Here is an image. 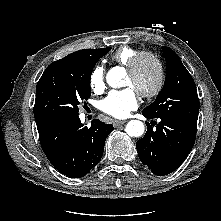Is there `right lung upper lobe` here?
Wrapping results in <instances>:
<instances>
[{"label":"right lung upper lobe","instance_id":"right-lung-upper-lobe-1","mask_svg":"<svg viewBox=\"0 0 221 221\" xmlns=\"http://www.w3.org/2000/svg\"><path fill=\"white\" fill-rule=\"evenodd\" d=\"M107 48H110V47H107ZM107 48H104V49H86V50H80V51H77V52H74V53L69 54L68 56L64 57L63 59H68V58H73V57L80 56V55H85V54H88V53H92V52H94L95 50H106ZM63 59H60V60H63Z\"/></svg>","mask_w":221,"mask_h":221}]
</instances>
